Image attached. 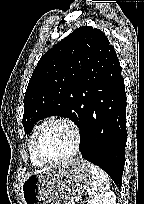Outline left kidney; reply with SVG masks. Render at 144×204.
I'll use <instances>...</instances> for the list:
<instances>
[{"label": "left kidney", "mask_w": 144, "mask_h": 204, "mask_svg": "<svg viewBox=\"0 0 144 204\" xmlns=\"http://www.w3.org/2000/svg\"><path fill=\"white\" fill-rule=\"evenodd\" d=\"M88 204H116V196L113 192H106L102 197L93 199Z\"/></svg>", "instance_id": "1"}]
</instances>
